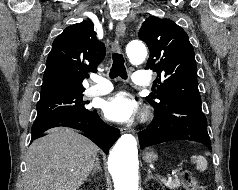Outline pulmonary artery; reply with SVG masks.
<instances>
[{
  "instance_id": "obj_1",
  "label": "pulmonary artery",
  "mask_w": 238,
  "mask_h": 190,
  "mask_svg": "<svg viewBox=\"0 0 238 190\" xmlns=\"http://www.w3.org/2000/svg\"><path fill=\"white\" fill-rule=\"evenodd\" d=\"M95 85L89 87L85 94L89 97L101 96L112 91L113 86L110 81L105 78L96 76L93 78ZM133 82L137 86L146 87L151 84V75L148 71L140 70L134 73Z\"/></svg>"
}]
</instances>
